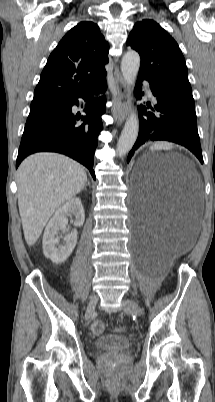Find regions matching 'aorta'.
<instances>
[{
    "label": "aorta",
    "instance_id": "obj_1",
    "mask_svg": "<svg viewBox=\"0 0 215 402\" xmlns=\"http://www.w3.org/2000/svg\"><path fill=\"white\" fill-rule=\"evenodd\" d=\"M140 67V56L135 51H128L121 61V72L128 86L135 84ZM139 131L137 113L132 111L128 116L117 143L118 156L126 155L133 147Z\"/></svg>",
    "mask_w": 215,
    "mask_h": 402
}]
</instances>
